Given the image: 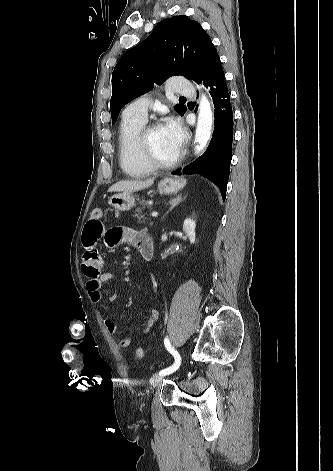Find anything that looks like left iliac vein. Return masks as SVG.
Returning <instances> with one entry per match:
<instances>
[{
    "instance_id": "4c4485c4",
    "label": "left iliac vein",
    "mask_w": 333,
    "mask_h": 471,
    "mask_svg": "<svg viewBox=\"0 0 333 471\" xmlns=\"http://www.w3.org/2000/svg\"><path fill=\"white\" fill-rule=\"evenodd\" d=\"M167 375H168V374H163V375L154 376V377L152 378V380H151V386H152L153 388H155L156 386H158V385L162 382L163 378H164L165 376H167Z\"/></svg>"
}]
</instances>
